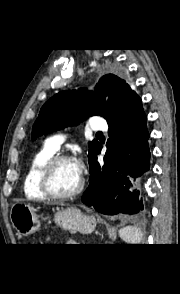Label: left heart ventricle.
<instances>
[{
    "label": "left heart ventricle",
    "mask_w": 180,
    "mask_h": 294,
    "mask_svg": "<svg viewBox=\"0 0 180 294\" xmlns=\"http://www.w3.org/2000/svg\"><path fill=\"white\" fill-rule=\"evenodd\" d=\"M81 177L77 174L72 161L60 163L54 170L51 186L57 193H69L75 190Z\"/></svg>",
    "instance_id": "1"
}]
</instances>
